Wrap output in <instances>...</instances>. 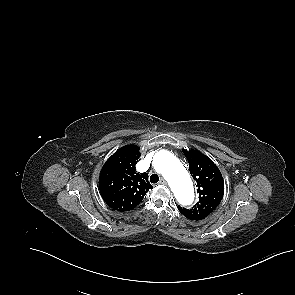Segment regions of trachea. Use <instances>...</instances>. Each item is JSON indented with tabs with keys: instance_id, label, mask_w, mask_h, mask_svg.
I'll return each instance as SVG.
<instances>
[{
	"instance_id": "1",
	"label": "trachea",
	"mask_w": 295,
	"mask_h": 295,
	"mask_svg": "<svg viewBox=\"0 0 295 295\" xmlns=\"http://www.w3.org/2000/svg\"><path fill=\"white\" fill-rule=\"evenodd\" d=\"M151 183H157L159 181V176L157 174H152L150 176Z\"/></svg>"
}]
</instances>
